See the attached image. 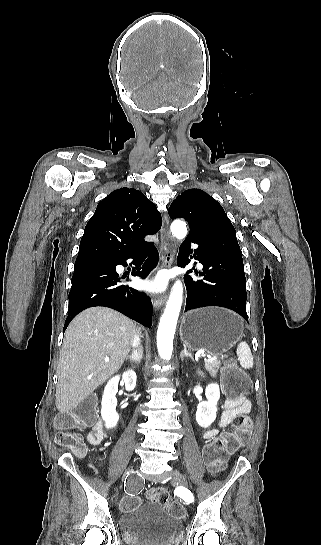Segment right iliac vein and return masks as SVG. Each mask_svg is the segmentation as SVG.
<instances>
[{
    "instance_id": "right-iliac-vein-1",
    "label": "right iliac vein",
    "mask_w": 321,
    "mask_h": 545,
    "mask_svg": "<svg viewBox=\"0 0 321 545\" xmlns=\"http://www.w3.org/2000/svg\"><path fill=\"white\" fill-rule=\"evenodd\" d=\"M131 471H132V469H130L127 473H129V472H131Z\"/></svg>"
}]
</instances>
